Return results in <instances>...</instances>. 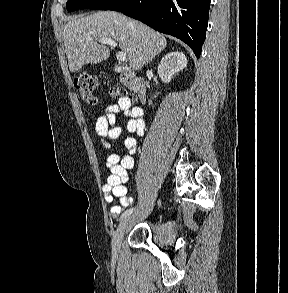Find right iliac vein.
I'll return each mask as SVG.
<instances>
[{
    "label": "right iliac vein",
    "mask_w": 288,
    "mask_h": 293,
    "mask_svg": "<svg viewBox=\"0 0 288 293\" xmlns=\"http://www.w3.org/2000/svg\"><path fill=\"white\" fill-rule=\"evenodd\" d=\"M130 222V217H125L119 224L114 236H113V239H112V252H113V256H117L118 255V252L120 250V246H121V242H122V238H123V235L125 233V230L128 226Z\"/></svg>",
    "instance_id": "63e3f726"
}]
</instances>
